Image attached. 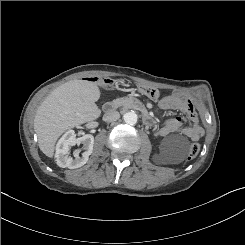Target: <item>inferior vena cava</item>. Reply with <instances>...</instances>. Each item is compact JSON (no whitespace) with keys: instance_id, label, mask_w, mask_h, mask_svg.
Here are the masks:
<instances>
[{"instance_id":"1","label":"inferior vena cava","mask_w":245,"mask_h":245,"mask_svg":"<svg viewBox=\"0 0 245 245\" xmlns=\"http://www.w3.org/2000/svg\"><path fill=\"white\" fill-rule=\"evenodd\" d=\"M120 118V114L116 110H110L107 113L104 114L103 120L105 122H114L117 121Z\"/></svg>"}]
</instances>
